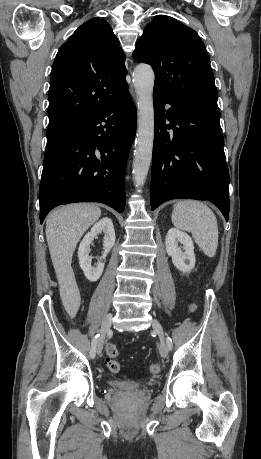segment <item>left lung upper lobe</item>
I'll list each match as a JSON object with an SVG mask.
<instances>
[{"mask_svg": "<svg viewBox=\"0 0 261 459\" xmlns=\"http://www.w3.org/2000/svg\"><path fill=\"white\" fill-rule=\"evenodd\" d=\"M133 57L153 67L154 92L186 106L219 110L210 59L193 29L157 15L146 25Z\"/></svg>", "mask_w": 261, "mask_h": 459, "instance_id": "1", "label": "left lung upper lobe"}]
</instances>
